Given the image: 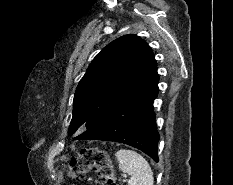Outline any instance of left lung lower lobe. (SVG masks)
Returning <instances> with one entry per match:
<instances>
[{"mask_svg": "<svg viewBox=\"0 0 233 185\" xmlns=\"http://www.w3.org/2000/svg\"><path fill=\"white\" fill-rule=\"evenodd\" d=\"M159 75L153 68L125 91L104 118L75 139L115 141L133 146L158 162L159 134L153 100L158 94Z\"/></svg>", "mask_w": 233, "mask_h": 185, "instance_id": "1", "label": "left lung lower lobe"}]
</instances>
